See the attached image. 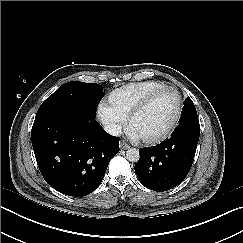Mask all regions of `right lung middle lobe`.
<instances>
[{
    "instance_id": "right-lung-middle-lobe-1",
    "label": "right lung middle lobe",
    "mask_w": 243,
    "mask_h": 243,
    "mask_svg": "<svg viewBox=\"0 0 243 243\" xmlns=\"http://www.w3.org/2000/svg\"><path fill=\"white\" fill-rule=\"evenodd\" d=\"M103 87L95 83L71 81L63 84L50 95L39 107L55 103L72 102L81 105L93 118L96 116V107L104 96Z\"/></svg>"
}]
</instances>
